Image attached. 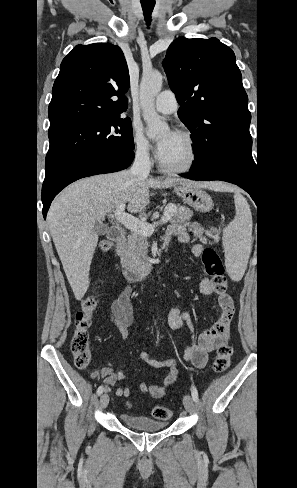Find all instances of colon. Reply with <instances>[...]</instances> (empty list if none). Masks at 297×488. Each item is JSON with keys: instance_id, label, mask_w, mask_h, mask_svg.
Instances as JSON below:
<instances>
[{"instance_id": "1", "label": "colon", "mask_w": 297, "mask_h": 488, "mask_svg": "<svg viewBox=\"0 0 297 488\" xmlns=\"http://www.w3.org/2000/svg\"><path fill=\"white\" fill-rule=\"evenodd\" d=\"M111 243L104 241L100 243V249L107 252L111 249ZM205 271L211 279L213 290L216 293H225L227 290V280L223 263L213 249H205L203 254ZM96 300L93 296L87 297L82 301L81 308L75 315V330L71 340V351L74 356L75 365L80 369H85L91 359L89 327L92 323V315L96 308ZM232 356V348L222 345L218 348L213 362V371L220 374L228 369ZM131 406L130 403H127ZM172 410L167 407L157 406L152 411V416L157 420H167L172 416Z\"/></svg>"}]
</instances>
